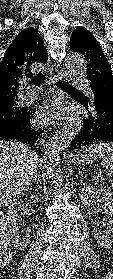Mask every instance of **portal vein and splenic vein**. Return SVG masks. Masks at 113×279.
Instances as JSON below:
<instances>
[{
    "label": "portal vein and splenic vein",
    "mask_w": 113,
    "mask_h": 279,
    "mask_svg": "<svg viewBox=\"0 0 113 279\" xmlns=\"http://www.w3.org/2000/svg\"><path fill=\"white\" fill-rule=\"evenodd\" d=\"M101 177H102L101 174H99L97 178H101Z\"/></svg>",
    "instance_id": "portal-vein-and-splenic-vein-1"
}]
</instances>
